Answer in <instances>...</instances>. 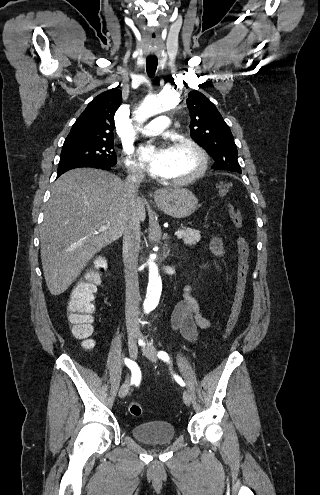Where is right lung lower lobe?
I'll list each match as a JSON object with an SVG mask.
<instances>
[{"instance_id": "1", "label": "right lung lower lobe", "mask_w": 320, "mask_h": 495, "mask_svg": "<svg viewBox=\"0 0 320 495\" xmlns=\"http://www.w3.org/2000/svg\"><path fill=\"white\" fill-rule=\"evenodd\" d=\"M115 165H106V164H88V165H84V166H79V167H94V168H99V169H103V170H110L112 167H114ZM79 167H75V168H79ZM74 169V168H72ZM70 170V169H69ZM68 171V170H67ZM64 172L66 171H62V172H58L57 174V177H59L61 174H63Z\"/></svg>"}]
</instances>
